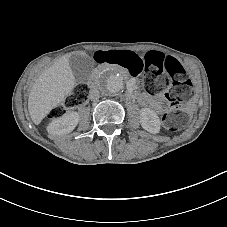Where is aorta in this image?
<instances>
[{
  "mask_svg": "<svg viewBox=\"0 0 227 227\" xmlns=\"http://www.w3.org/2000/svg\"><path fill=\"white\" fill-rule=\"evenodd\" d=\"M98 87L104 94H118L124 89V78L116 70H106L98 80Z\"/></svg>",
  "mask_w": 227,
  "mask_h": 227,
  "instance_id": "1",
  "label": "aorta"
}]
</instances>
